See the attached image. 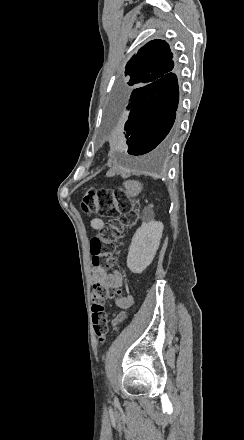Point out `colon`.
<instances>
[{
	"instance_id": "5ec220e1",
	"label": "colon",
	"mask_w": 244,
	"mask_h": 440,
	"mask_svg": "<svg viewBox=\"0 0 244 440\" xmlns=\"http://www.w3.org/2000/svg\"><path fill=\"white\" fill-rule=\"evenodd\" d=\"M81 208L84 214L95 213L106 221L105 224L100 223L98 235L90 242L89 253L94 263L106 269L116 268L119 263L116 250L120 234L125 227H130L136 222L137 211L121 198H117V192L109 189H87L81 201ZM112 294L113 291L104 285H97L92 290L91 321L100 345L105 343L108 333L105 303Z\"/></svg>"
}]
</instances>
